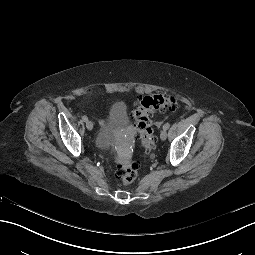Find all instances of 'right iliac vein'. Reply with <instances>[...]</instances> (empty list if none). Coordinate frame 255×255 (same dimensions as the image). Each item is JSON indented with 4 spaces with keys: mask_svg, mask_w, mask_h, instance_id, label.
<instances>
[{
    "mask_svg": "<svg viewBox=\"0 0 255 255\" xmlns=\"http://www.w3.org/2000/svg\"><path fill=\"white\" fill-rule=\"evenodd\" d=\"M86 127H87L88 130H92V129H93V123H92L91 121L88 120V121L86 122Z\"/></svg>",
    "mask_w": 255,
    "mask_h": 255,
    "instance_id": "obj_1",
    "label": "right iliac vein"
}]
</instances>
